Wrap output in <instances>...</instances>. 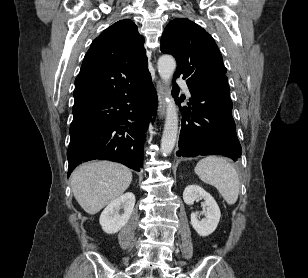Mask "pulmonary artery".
<instances>
[{
	"label": "pulmonary artery",
	"mask_w": 308,
	"mask_h": 278,
	"mask_svg": "<svg viewBox=\"0 0 308 278\" xmlns=\"http://www.w3.org/2000/svg\"><path fill=\"white\" fill-rule=\"evenodd\" d=\"M177 83H178V85L184 90V92H185L188 96H190V91H189V88H188L186 82H185L184 80H182V79H178V80H177Z\"/></svg>",
	"instance_id": "pulmonary-artery-1"
}]
</instances>
